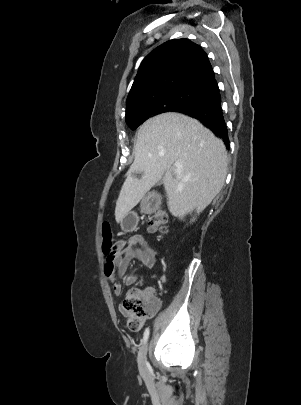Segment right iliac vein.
Segmentation results:
<instances>
[{"instance_id":"obj_1","label":"right iliac vein","mask_w":301,"mask_h":405,"mask_svg":"<svg viewBox=\"0 0 301 405\" xmlns=\"http://www.w3.org/2000/svg\"><path fill=\"white\" fill-rule=\"evenodd\" d=\"M147 351H148V344L145 343L138 353V366L140 372L143 375H146L148 373Z\"/></svg>"}]
</instances>
